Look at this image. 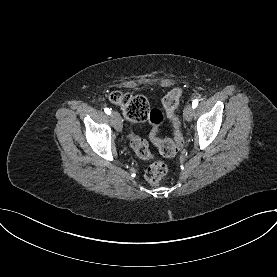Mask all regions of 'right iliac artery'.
I'll return each mask as SVG.
<instances>
[{"label":"right iliac artery","instance_id":"1","mask_svg":"<svg viewBox=\"0 0 277 277\" xmlns=\"http://www.w3.org/2000/svg\"><path fill=\"white\" fill-rule=\"evenodd\" d=\"M104 111H105V113L108 114V115L111 114V110H110L109 108H105Z\"/></svg>","mask_w":277,"mask_h":277}]
</instances>
